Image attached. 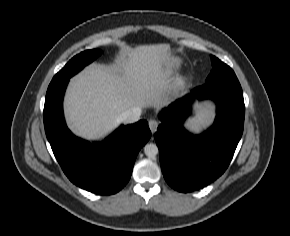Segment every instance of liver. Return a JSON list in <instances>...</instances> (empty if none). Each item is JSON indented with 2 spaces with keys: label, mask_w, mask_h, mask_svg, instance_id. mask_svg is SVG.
<instances>
[{
  "label": "liver",
  "mask_w": 290,
  "mask_h": 236,
  "mask_svg": "<svg viewBox=\"0 0 290 236\" xmlns=\"http://www.w3.org/2000/svg\"><path fill=\"white\" fill-rule=\"evenodd\" d=\"M167 44L126 48L111 66L92 64L70 80L64 114L71 131L87 140H100L117 128L120 115L132 108L168 104L164 61Z\"/></svg>",
  "instance_id": "1"
}]
</instances>
